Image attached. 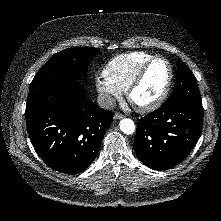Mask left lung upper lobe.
Segmentation results:
<instances>
[{"instance_id":"1","label":"left lung upper lobe","mask_w":221,"mask_h":221,"mask_svg":"<svg viewBox=\"0 0 221 221\" xmlns=\"http://www.w3.org/2000/svg\"><path fill=\"white\" fill-rule=\"evenodd\" d=\"M176 78L177 81L174 86L173 92L165 103L175 101H189L202 104L201 95L195 79L192 76L190 69L181 59H178L177 61Z\"/></svg>"}]
</instances>
